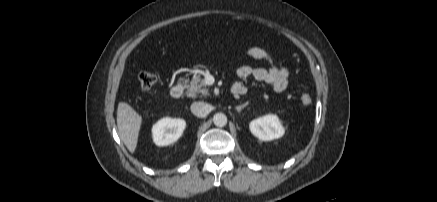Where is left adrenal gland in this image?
<instances>
[{
  "mask_svg": "<svg viewBox=\"0 0 437 202\" xmlns=\"http://www.w3.org/2000/svg\"><path fill=\"white\" fill-rule=\"evenodd\" d=\"M247 104L248 103H245V104H243V105H239V106H237L235 109H236V111L238 112V113H240L241 112V110L242 109H244V107H246L247 106Z\"/></svg>",
  "mask_w": 437,
  "mask_h": 202,
  "instance_id": "1",
  "label": "left adrenal gland"
}]
</instances>
